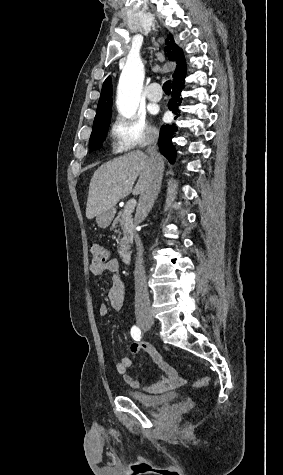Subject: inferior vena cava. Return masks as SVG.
Returning <instances> with one entry per match:
<instances>
[{
    "instance_id": "inferior-vena-cava-1",
    "label": "inferior vena cava",
    "mask_w": 283,
    "mask_h": 475,
    "mask_svg": "<svg viewBox=\"0 0 283 475\" xmlns=\"http://www.w3.org/2000/svg\"><path fill=\"white\" fill-rule=\"evenodd\" d=\"M147 150L149 156L150 168L148 170L149 178L147 180L146 188L143 194H140L139 204L137 206L136 214L140 220L146 218L150 212L154 200L160 192V186L163 178L164 162L158 154L157 140L150 142ZM137 243V257L135 261L134 277H135V313H149L151 309L150 299L147 289V277L143 263V245L141 239H136Z\"/></svg>"
}]
</instances>
